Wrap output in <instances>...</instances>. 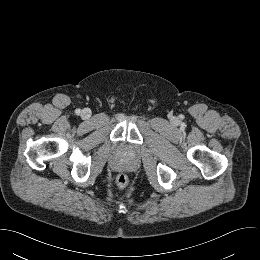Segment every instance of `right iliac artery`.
<instances>
[{
    "label": "right iliac artery",
    "instance_id": "obj_1",
    "mask_svg": "<svg viewBox=\"0 0 260 260\" xmlns=\"http://www.w3.org/2000/svg\"><path fill=\"white\" fill-rule=\"evenodd\" d=\"M75 113H76L77 115H79V114L81 113V110H80V109H76V110H75Z\"/></svg>",
    "mask_w": 260,
    "mask_h": 260
}]
</instances>
